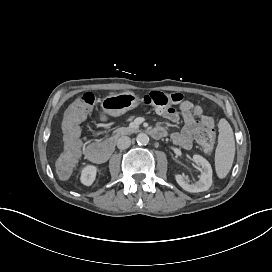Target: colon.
I'll return each mask as SVG.
<instances>
[{"instance_id":"colon-1","label":"colon","mask_w":272,"mask_h":272,"mask_svg":"<svg viewBox=\"0 0 272 272\" xmlns=\"http://www.w3.org/2000/svg\"><path fill=\"white\" fill-rule=\"evenodd\" d=\"M182 99L178 93L166 94L160 91H152L144 96L145 104L152 105L159 109H164ZM96 96L91 92L79 95L64 110L63 122L66 129L62 141V154L56 166V172L60 179H67L71 171L78 167V159L81 154V136L77 129L79 122L85 117L88 107L94 105ZM198 141L205 150H209L214 145L215 132L210 121H206L204 128L197 135Z\"/></svg>"}]
</instances>
